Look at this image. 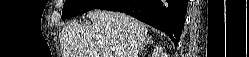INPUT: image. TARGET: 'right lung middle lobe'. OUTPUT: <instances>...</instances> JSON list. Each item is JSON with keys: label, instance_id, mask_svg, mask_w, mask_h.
I'll use <instances>...</instances> for the list:
<instances>
[{"label": "right lung middle lobe", "instance_id": "obj_1", "mask_svg": "<svg viewBox=\"0 0 249 57\" xmlns=\"http://www.w3.org/2000/svg\"><path fill=\"white\" fill-rule=\"evenodd\" d=\"M108 1L109 0H66L61 18H70L92 9H98Z\"/></svg>", "mask_w": 249, "mask_h": 57}]
</instances>
